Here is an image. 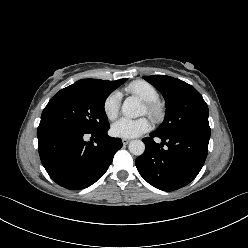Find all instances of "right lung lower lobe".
<instances>
[{
    "instance_id": "right-lung-lower-lobe-1",
    "label": "right lung lower lobe",
    "mask_w": 248,
    "mask_h": 248,
    "mask_svg": "<svg viewBox=\"0 0 248 248\" xmlns=\"http://www.w3.org/2000/svg\"><path fill=\"white\" fill-rule=\"evenodd\" d=\"M109 128L85 132L61 124L39 125V155L49 176L70 190L94 184L107 171L123 145L120 138L108 136ZM87 135L95 143L85 141Z\"/></svg>"
}]
</instances>
